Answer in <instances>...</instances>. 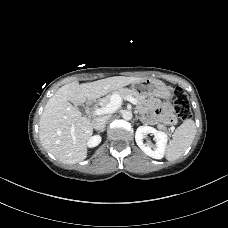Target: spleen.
Masks as SVG:
<instances>
[{
	"instance_id": "1",
	"label": "spleen",
	"mask_w": 228,
	"mask_h": 228,
	"mask_svg": "<svg viewBox=\"0 0 228 228\" xmlns=\"http://www.w3.org/2000/svg\"><path fill=\"white\" fill-rule=\"evenodd\" d=\"M196 135V126L192 119L185 120L173 133L166 149V159L174 161L181 157L192 144Z\"/></svg>"
}]
</instances>
